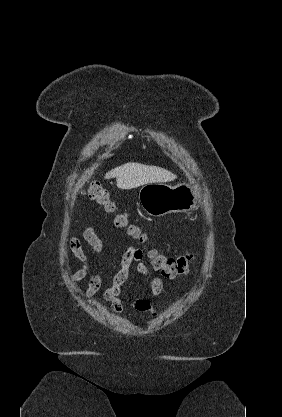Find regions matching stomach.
I'll return each instance as SVG.
<instances>
[{
  "instance_id": "stomach-1",
  "label": "stomach",
  "mask_w": 282,
  "mask_h": 417,
  "mask_svg": "<svg viewBox=\"0 0 282 417\" xmlns=\"http://www.w3.org/2000/svg\"><path fill=\"white\" fill-rule=\"evenodd\" d=\"M143 211L152 217H163L168 213H188L197 204V194L188 184L169 186L165 182H149L139 190Z\"/></svg>"
}]
</instances>
